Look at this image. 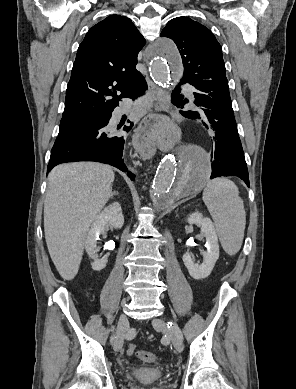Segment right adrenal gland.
Masks as SVG:
<instances>
[{"label": "right adrenal gland", "mask_w": 296, "mask_h": 389, "mask_svg": "<svg viewBox=\"0 0 296 389\" xmlns=\"http://www.w3.org/2000/svg\"><path fill=\"white\" fill-rule=\"evenodd\" d=\"M114 195H119V193L117 191H114L111 195V199L113 198Z\"/></svg>", "instance_id": "obj_1"}]
</instances>
